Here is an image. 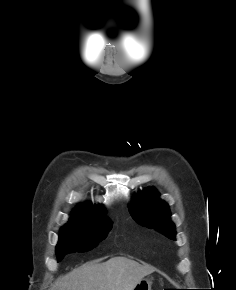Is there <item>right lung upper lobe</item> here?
<instances>
[{
    "label": "right lung upper lobe",
    "instance_id": "1",
    "mask_svg": "<svg viewBox=\"0 0 236 290\" xmlns=\"http://www.w3.org/2000/svg\"><path fill=\"white\" fill-rule=\"evenodd\" d=\"M103 214L104 211L100 207L81 206L73 212V217L71 218L70 222L85 223L96 220H107L106 218L101 217Z\"/></svg>",
    "mask_w": 236,
    "mask_h": 290
}]
</instances>
